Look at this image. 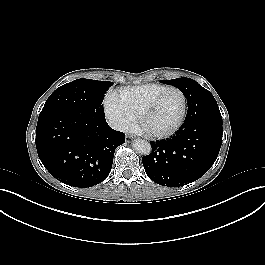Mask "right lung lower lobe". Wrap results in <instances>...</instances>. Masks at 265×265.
<instances>
[{"label":"right lung lower lobe","instance_id":"98d812e1","mask_svg":"<svg viewBox=\"0 0 265 265\" xmlns=\"http://www.w3.org/2000/svg\"><path fill=\"white\" fill-rule=\"evenodd\" d=\"M124 142V134L96 114L52 110L38 118V156L56 179L69 186L87 188L105 180L114 151Z\"/></svg>","mask_w":265,"mask_h":265}]
</instances>
